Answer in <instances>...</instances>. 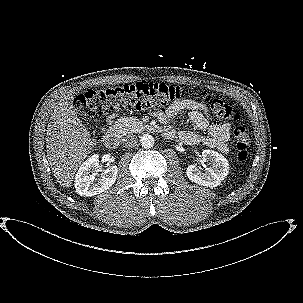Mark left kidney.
<instances>
[{"mask_svg":"<svg viewBox=\"0 0 303 303\" xmlns=\"http://www.w3.org/2000/svg\"><path fill=\"white\" fill-rule=\"evenodd\" d=\"M204 160L210 161V167L201 171L196 165H189L186 170L188 178L199 185L206 187H216L228 175L229 164L227 159L213 150H204L202 152Z\"/></svg>","mask_w":303,"mask_h":303,"instance_id":"1","label":"left kidney"}]
</instances>
